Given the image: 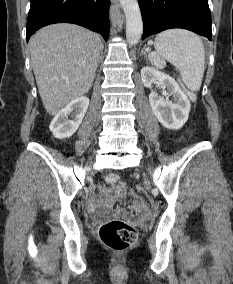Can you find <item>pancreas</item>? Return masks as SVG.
<instances>
[{"label": "pancreas", "mask_w": 233, "mask_h": 284, "mask_svg": "<svg viewBox=\"0 0 233 284\" xmlns=\"http://www.w3.org/2000/svg\"><path fill=\"white\" fill-rule=\"evenodd\" d=\"M155 64L159 67H164L165 63L159 57L156 59Z\"/></svg>", "instance_id": "1"}]
</instances>
